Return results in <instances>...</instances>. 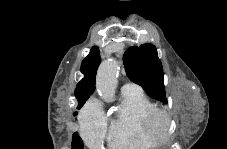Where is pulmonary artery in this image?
<instances>
[{"label": "pulmonary artery", "instance_id": "e3ab8cb5", "mask_svg": "<svg viewBox=\"0 0 227 149\" xmlns=\"http://www.w3.org/2000/svg\"><path fill=\"white\" fill-rule=\"evenodd\" d=\"M130 90H139V88L133 84L125 83L122 86V91H130Z\"/></svg>", "mask_w": 227, "mask_h": 149}]
</instances>
